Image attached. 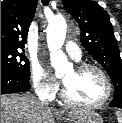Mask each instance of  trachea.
Segmentation results:
<instances>
[{"label":"trachea","instance_id":"1","mask_svg":"<svg viewBox=\"0 0 122 123\" xmlns=\"http://www.w3.org/2000/svg\"><path fill=\"white\" fill-rule=\"evenodd\" d=\"M41 2L44 6H47L49 4L50 0H41Z\"/></svg>","mask_w":122,"mask_h":123}]
</instances>
